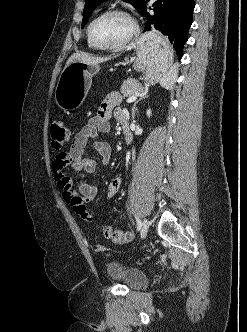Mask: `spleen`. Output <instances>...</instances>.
<instances>
[{"mask_svg":"<svg viewBox=\"0 0 247 332\" xmlns=\"http://www.w3.org/2000/svg\"><path fill=\"white\" fill-rule=\"evenodd\" d=\"M176 77L177 71L176 68H173L159 80V83L166 89H172L174 87Z\"/></svg>","mask_w":247,"mask_h":332,"instance_id":"3e777b00","label":"spleen"}]
</instances>
